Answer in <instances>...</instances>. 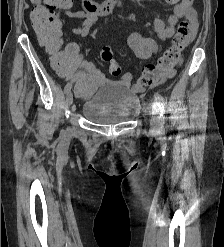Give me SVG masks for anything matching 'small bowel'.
Segmentation results:
<instances>
[{
	"mask_svg": "<svg viewBox=\"0 0 224 247\" xmlns=\"http://www.w3.org/2000/svg\"><path fill=\"white\" fill-rule=\"evenodd\" d=\"M34 1L36 3H39L41 0ZM166 2L174 6L173 12L168 18V21L165 22L158 17L154 18L153 20V27L159 39L165 41L171 38L175 32V26L178 23L179 19L186 17L192 25L189 40H193L197 30L196 12L192 7L193 0H166ZM65 14L70 18H76L82 21L78 27L72 29V32L80 37H86L91 27L97 21V15L87 12L86 10H65ZM127 43L136 57L142 60L151 58L158 51V44L155 39L143 35L140 31H134L133 33H131L128 37ZM174 75L175 70H171L162 77L160 83L171 79ZM132 79V73L127 72L122 75V77L118 81V84L131 89L134 93H143L144 87L140 84H132ZM156 85L157 83H153V86Z\"/></svg>",
	"mask_w": 224,
	"mask_h": 247,
	"instance_id": "c3829d8e",
	"label": "small bowel"
}]
</instances>
